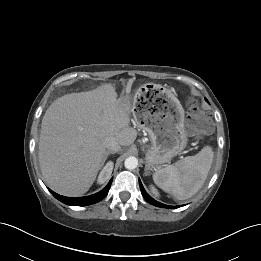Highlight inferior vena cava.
I'll return each mask as SVG.
<instances>
[{
	"label": "inferior vena cava",
	"instance_id": "obj_1",
	"mask_svg": "<svg viewBox=\"0 0 261 261\" xmlns=\"http://www.w3.org/2000/svg\"><path fill=\"white\" fill-rule=\"evenodd\" d=\"M104 147L109 151L118 152L121 150L119 142L114 137H107L104 140Z\"/></svg>",
	"mask_w": 261,
	"mask_h": 261
}]
</instances>
